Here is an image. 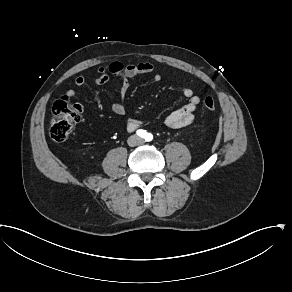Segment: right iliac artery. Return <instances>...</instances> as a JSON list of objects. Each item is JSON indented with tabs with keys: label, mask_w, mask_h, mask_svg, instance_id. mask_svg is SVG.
Segmentation results:
<instances>
[{
	"label": "right iliac artery",
	"mask_w": 292,
	"mask_h": 292,
	"mask_svg": "<svg viewBox=\"0 0 292 292\" xmlns=\"http://www.w3.org/2000/svg\"><path fill=\"white\" fill-rule=\"evenodd\" d=\"M137 135L142 137V138H145L147 136V132L143 129H139L136 131Z\"/></svg>",
	"instance_id": "right-iliac-artery-1"
}]
</instances>
